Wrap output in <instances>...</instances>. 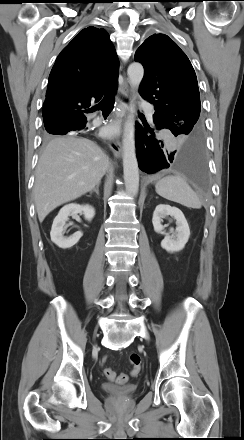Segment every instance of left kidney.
<instances>
[{"mask_svg": "<svg viewBox=\"0 0 244 440\" xmlns=\"http://www.w3.org/2000/svg\"><path fill=\"white\" fill-rule=\"evenodd\" d=\"M167 216H171L176 220L175 232L173 229H170L172 235L166 233L161 224L162 220ZM152 223L156 233L165 235L164 239L161 241V247L167 252H178L185 247L190 237V229L187 220L180 209L171 207L170 205L160 204L155 208Z\"/></svg>", "mask_w": 244, "mask_h": 440, "instance_id": "left-kidney-1", "label": "left kidney"}]
</instances>
